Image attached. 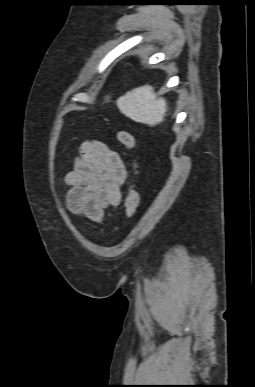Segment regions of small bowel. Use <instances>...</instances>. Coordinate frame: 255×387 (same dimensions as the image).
<instances>
[{
  "instance_id": "obj_1",
  "label": "small bowel",
  "mask_w": 255,
  "mask_h": 387,
  "mask_svg": "<svg viewBox=\"0 0 255 387\" xmlns=\"http://www.w3.org/2000/svg\"><path fill=\"white\" fill-rule=\"evenodd\" d=\"M127 171L120 155L98 140L81 143L73 170L64 177L69 187V210L93 222H101L104 210L117 207Z\"/></svg>"
}]
</instances>
